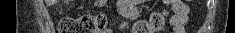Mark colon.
<instances>
[{
	"label": "colon",
	"mask_w": 235,
	"mask_h": 33,
	"mask_svg": "<svg viewBox=\"0 0 235 33\" xmlns=\"http://www.w3.org/2000/svg\"><path fill=\"white\" fill-rule=\"evenodd\" d=\"M166 21L164 12H155L149 21L135 24L133 33H154L163 29ZM108 19L103 14H84L76 18H63L57 28V33H102L107 30Z\"/></svg>",
	"instance_id": "obj_1"
}]
</instances>
